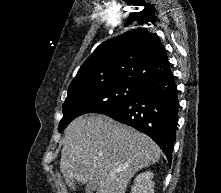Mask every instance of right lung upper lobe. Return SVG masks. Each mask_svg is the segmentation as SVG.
<instances>
[{"label":"right lung upper lobe","instance_id":"1","mask_svg":"<svg viewBox=\"0 0 221 193\" xmlns=\"http://www.w3.org/2000/svg\"><path fill=\"white\" fill-rule=\"evenodd\" d=\"M169 73L167 53L158 35L138 28L100 44L68 90L117 82L143 83Z\"/></svg>","mask_w":221,"mask_h":193}]
</instances>
